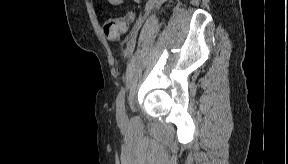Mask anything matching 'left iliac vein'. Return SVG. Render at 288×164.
Wrapping results in <instances>:
<instances>
[{
    "label": "left iliac vein",
    "instance_id": "obj_1",
    "mask_svg": "<svg viewBox=\"0 0 288 164\" xmlns=\"http://www.w3.org/2000/svg\"><path fill=\"white\" fill-rule=\"evenodd\" d=\"M126 114L125 113H121V118H125Z\"/></svg>",
    "mask_w": 288,
    "mask_h": 164
}]
</instances>
